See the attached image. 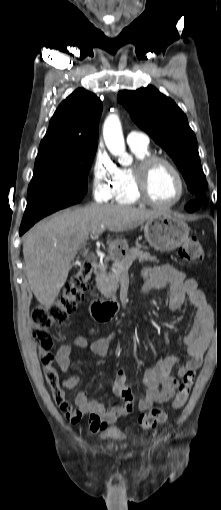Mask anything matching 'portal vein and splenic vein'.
Here are the masks:
<instances>
[{
    "label": "portal vein and splenic vein",
    "mask_w": 221,
    "mask_h": 510,
    "mask_svg": "<svg viewBox=\"0 0 221 510\" xmlns=\"http://www.w3.org/2000/svg\"><path fill=\"white\" fill-rule=\"evenodd\" d=\"M103 229H104V226H101V231H99L98 233H92L91 238L97 239L99 237V235L102 233Z\"/></svg>",
    "instance_id": "1"
}]
</instances>
